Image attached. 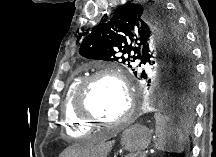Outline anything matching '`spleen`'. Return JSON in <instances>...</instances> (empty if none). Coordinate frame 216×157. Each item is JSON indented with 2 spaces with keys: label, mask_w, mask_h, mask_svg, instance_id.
<instances>
[{
  "label": "spleen",
  "mask_w": 216,
  "mask_h": 157,
  "mask_svg": "<svg viewBox=\"0 0 216 157\" xmlns=\"http://www.w3.org/2000/svg\"><path fill=\"white\" fill-rule=\"evenodd\" d=\"M155 148L163 152L181 153L184 150V133L178 129L168 116L160 113L155 114Z\"/></svg>",
  "instance_id": "3e777b00"
}]
</instances>
